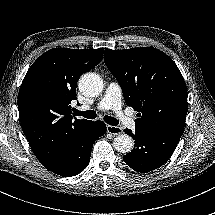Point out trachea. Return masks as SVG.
I'll use <instances>...</instances> for the list:
<instances>
[{"label":"trachea","instance_id":"trachea-1","mask_svg":"<svg viewBox=\"0 0 215 215\" xmlns=\"http://www.w3.org/2000/svg\"><path fill=\"white\" fill-rule=\"evenodd\" d=\"M74 115L75 116H82L84 118H87V119H95L97 114L94 110H87V111H79L77 109H74ZM103 120L109 124V125H118L119 121L114 118V117H111V116H108V115H105L103 117Z\"/></svg>","mask_w":215,"mask_h":215}]
</instances>
